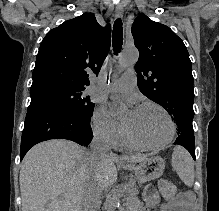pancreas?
<instances>
[{
    "label": "pancreas",
    "mask_w": 219,
    "mask_h": 211,
    "mask_svg": "<svg viewBox=\"0 0 219 211\" xmlns=\"http://www.w3.org/2000/svg\"><path fill=\"white\" fill-rule=\"evenodd\" d=\"M136 188V187H135ZM128 211H137L138 208L140 207V198H137L136 195H128Z\"/></svg>",
    "instance_id": "1"
}]
</instances>
